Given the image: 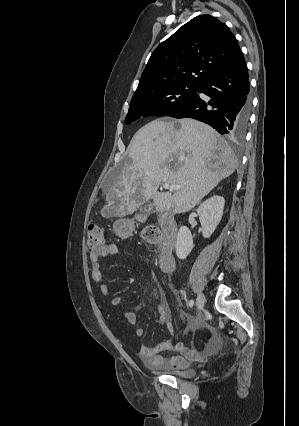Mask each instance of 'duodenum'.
Here are the masks:
<instances>
[{
    "label": "duodenum",
    "instance_id": "1",
    "mask_svg": "<svg viewBox=\"0 0 299 426\" xmlns=\"http://www.w3.org/2000/svg\"><path fill=\"white\" fill-rule=\"evenodd\" d=\"M159 222L164 238L160 244V266L164 272H171L174 269L173 249L176 241L178 225L171 213L163 212L159 215Z\"/></svg>",
    "mask_w": 299,
    "mask_h": 426
}]
</instances>
